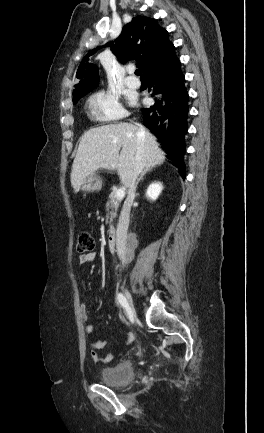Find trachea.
Wrapping results in <instances>:
<instances>
[{"instance_id": "trachea-1", "label": "trachea", "mask_w": 264, "mask_h": 433, "mask_svg": "<svg viewBox=\"0 0 264 433\" xmlns=\"http://www.w3.org/2000/svg\"><path fill=\"white\" fill-rule=\"evenodd\" d=\"M135 74H136L137 76H140L141 78L143 77V76L141 75L140 70H138V69L135 71Z\"/></svg>"}]
</instances>
